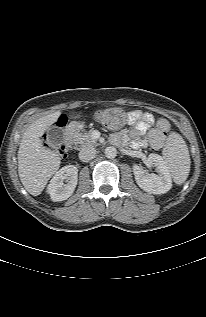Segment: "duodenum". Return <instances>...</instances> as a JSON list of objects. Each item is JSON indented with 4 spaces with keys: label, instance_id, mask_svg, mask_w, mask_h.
I'll return each instance as SVG.
<instances>
[{
    "label": "duodenum",
    "instance_id": "1",
    "mask_svg": "<svg viewBox=\"0 0 206 317\" xmlns=\"http://www.w3.org/2000/svg\"><path fill=\"white\" fill-rule=\"evenodd\" d=\"M82 128V124L80 121L75 120L72 122V124L69 125V127L65 130L64 135V142L63 145L65 148L70 149L73 147L75 142V135L78 131H80Z\"/></svg>",
    "mask_w": 206,
    "mask_h": 317
}]
</instances>
